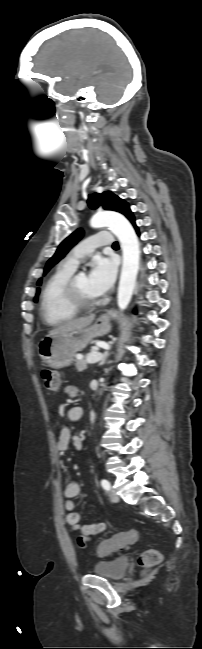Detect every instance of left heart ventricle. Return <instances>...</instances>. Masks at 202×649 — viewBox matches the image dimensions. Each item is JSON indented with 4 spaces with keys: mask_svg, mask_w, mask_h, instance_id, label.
Returning <instances> with one entry per match:
<instances>
[{
    "mask_svg": "<svg viewBox=\"0 0 202 649\" xmlns=\"http://www.w3.org/2000/svg\"><path fill=\"white\" fill-rule=\"evenodd\" d=\"M77 285H78L79 291L85 297H96L97 296L91 290L89 282H88V278H87L86 275H79V277L77 279Z\"/></svg>",
    "mask_w": 202,
    "mask_h": 649,
    "instance_id": "left-heart-ventricle-1",
    "label": "left heart ventricle"
}]
</instances>
